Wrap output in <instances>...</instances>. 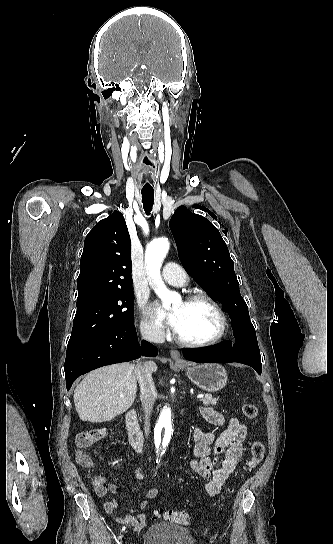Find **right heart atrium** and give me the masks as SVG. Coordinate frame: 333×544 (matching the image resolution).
I'll return each mask as SVG.
<instances>
[{"label":"right heart atrium","instance_id":"right-heart-atrium-1","mask_svg":"<svg viewBox=\"0 0 333 544\" xmlns=\"http://www.w3.org/2000/svg\"><path fill=\"white\" fill-rule=\"evenodd\" d=\"M139 309L141 315L140 331L142 336L151 341L160 340L164 336L163 328L159 323L148 317L144 300L139 301Z\"/></svg>","mask_w":333,"mask_h":544}]
</instances>
